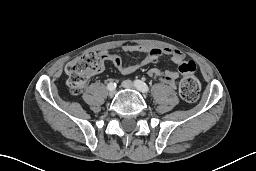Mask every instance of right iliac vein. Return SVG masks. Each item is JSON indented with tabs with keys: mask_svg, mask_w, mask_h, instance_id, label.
<instances>
[{
	"mask_svg": "<svg viewBox=\"0 0 256 171\" xmlns=\"http://www.w3.org/2000/svg\"><path fill=\"white\" fill-rule=\"evenodd\" d=\"M115 94H116L115 88L110 89L109 92H108V95H109L110 97H113Z\"/></svg>",
	"mask_w": 256,
	"mask_h": 171,
	"instance_id": "obj_1",
	"label": "right iliac vein"
}]
</instances>
